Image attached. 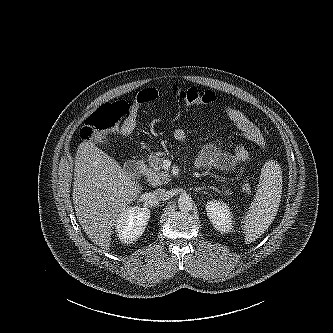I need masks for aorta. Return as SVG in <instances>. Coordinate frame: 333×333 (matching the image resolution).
Instances as JSON below:
<instances>
[{
	"instance_id": "1",
	"label": "aorta",
	"mask_w": 333,
	"mask_h": 333,
	"mask_svg": "<svg viewBox=\"0 0 333 333\" xmlns=\"http://www.w3.org/2000/svg\"><path fill=\"white\" fill-rule=\"evenodd\" d=\"M178 207L181 211H190L193 208L192 197L188 194H181L178 198Z\"/></svg>"
}]
</instances>
